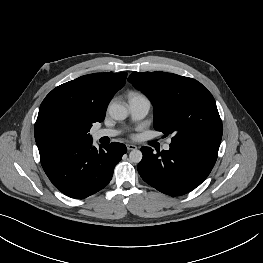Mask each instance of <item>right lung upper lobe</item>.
<instances>
[{
    "instance_id": "right-lung-upper-lobe-1",
    "label": "right lung upper lobe",
    "mask_w": 263,
    "mask_h": 263,
    "mask_svg": "<svg viewBox=\"0 0 263 263\" xmlns=\"http://www.w3.org/2000/svg\"><path fill=\"white\" fill-rule=\"evenodd\" d=\"M127 73H99L81 76L53 89L41 103L35 123V140L41 164L63 149L54 144L60 127L89 129L104 119L109 101L126 82Z\"/></svg>"
}]
</instances>
